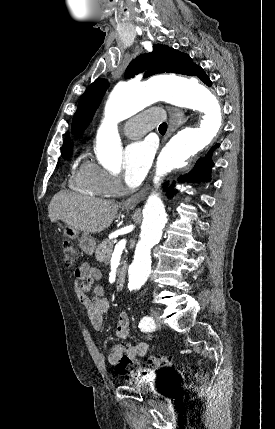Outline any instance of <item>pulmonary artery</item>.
Segmentation results:
<instances>
[{
  "mask_svg": "<svg viewBox=\"0 0 275 429\" xmlns=\"http://www.w3.org/2000/svg\"><path fill=\"white\" fill-rule=\"evenodd\" d=\"M164 119L159 109H149L130 119L124 127V134L128 138H138L147 133Z\"/></svg>",
  "mask_w": 275,
  "mask_h": 429,
  "instance_id": "pulmonary-artery-1",
  "label": "pulmonary artery"
}]
</instances>
